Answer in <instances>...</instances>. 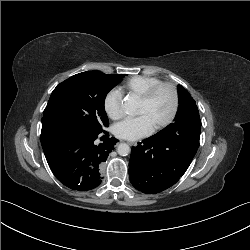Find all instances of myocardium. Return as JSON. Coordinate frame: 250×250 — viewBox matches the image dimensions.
<instances>
[{"mask_svg":"<svg viewBox=\"0 0 250 250\" xmlns=\"http://www.w3.org/2000/svg\"><path fill=\"white\" fill-rule=\"evenodd\" d=\"M166 88L170 91L171 96H172V108L171 112L168 115V117L163 120L162 122L158 123L157 125L154 126V131H160L166 127H168L175 119L178 109H179V93L176 88V86L172 83L169 82H160L152 87H150L145 93H143L140 97L139 100L148 103L152 100V98L156 95V93L163 89Z\"/></svg>","mask_w":250,"mask_h":250,"instance_id":"1","label":"myocardium"}]
</instances>
